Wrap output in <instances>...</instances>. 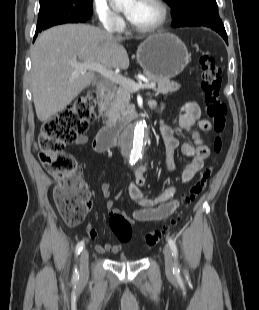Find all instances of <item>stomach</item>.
Here are the masks:
<instances>
[{
	"label": "stomach",
	"mask_w": 259,
	"mask_h": 310,
	"mask_svg": "<svg viewBox=\"0 0 259 310\" xmlns=\"http://www.w3.org/2000/svg\"><path fill=\"white\" fill-rule=\"evenodd\" d=\"M137 61L144 73L170 79L186 67L189 55L185 44L174 34L158 33L148 37L137 49Z\"/></svg>",
	"instance_id": "0dacf381"
}]
</instances>
